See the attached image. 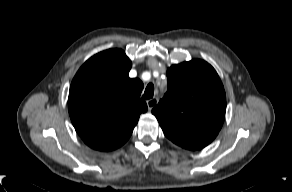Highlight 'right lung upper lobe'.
<instances>
[{
	"label": "right lung upper lobe",
	"mask_w": 292,
	"mask_h": 192,
	"mask_svg": "<svg viewBox=\"0 0 292 192\" xmlns=\"http://www.w3.org/2000/svg\"><path fill=\"white\" fill-rule=\"evenodd\" d=\"M131 66L123 50L109 49L88 59L72 80L69 115L76 132L93 149L122 146L147 111L140 98L143 83L128 76Z\"/></svg>",
	"instance_id": "cb5924a9"
}]
</instances>
